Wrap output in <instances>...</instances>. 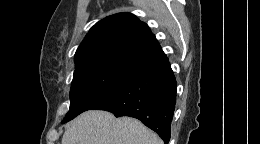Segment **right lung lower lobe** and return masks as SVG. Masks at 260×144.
Here are the masks:
<instances>
[{
    "instance_id": "obj_1",
    "label": "right lung lower lobe",
    "mask_w": 260,
    "mask_h": 144,
    "mask_svg": "<svg viewBox=\"0 0 260 144\" xmlns=\"http://www.w3.org/2000/svg\"><path fill=\"white\" fill-rule=\"evenodd\" d=\"M176 104V80L166 57L138 69L131 79L93 109L139 119L166 143Z\"/></svg>"
}]
</instances>
